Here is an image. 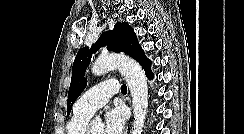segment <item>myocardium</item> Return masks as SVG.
<instances>
[{"label":"myocardium","mask_w":244,"mask_h":134,"mask_svg":"<svg viewBox=\"0 0 244 134\" xmlns=\"http://www.w3.org/2000/svg\"><path fill=\"white\" fill-rule=\"evenodd\" d=\"M91 126H92L91 123H89V124L86 126V129H85V133H84V134H92Z\"/></svg>","instance_id":"obj_1"}]
</instances>
